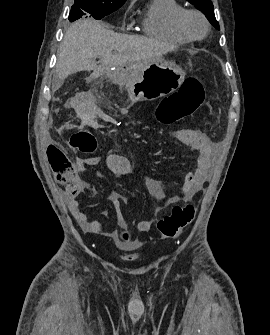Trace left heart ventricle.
<instances>
[{"mask_svg": "<svg viewBox=\"0 0 270 335\" xmlns=\"http://www.w3.org/2000/svg\"><path fill=\"white\" fill-rule=\"evenodd\" d=\"M186 26L190 33L195 37H201L205 32L203 21L194 14H191L186 18Z\"/></svg>", "mask_w": 270, "mask_h": 335, "instance_id": "1", "label": "left heart ventricle"}]
</instances>
